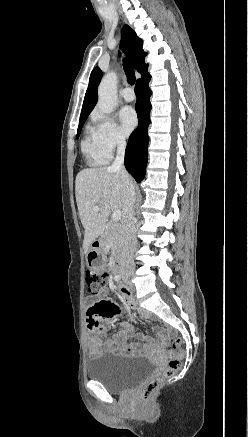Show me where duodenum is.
Wrapping results in <instances>:
<instances>
[{"mask_svg": "<svg viewBox=\"0 0 248 437\" xmlns=\"http://www.w3.org/2000/svg\"><path fill=\"white\" fill-rule=\"evenodd\" d=\"M93 248H98L99 246H100V241L97 239V240H95L93 243H92V245H91ZM121 265H122V261H121V259L120 258H116L115 260H114V263H113V269H114V271L115 272H119L120 271V269H121Z\"/></svg>", "mask_w": 248, "mask_h": 437, "instance_id": "410a0bca", "label": "duodenum"}]
</instances>
